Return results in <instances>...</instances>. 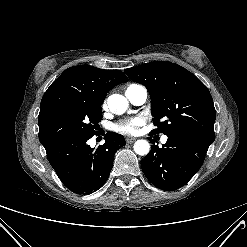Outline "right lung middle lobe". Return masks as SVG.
<instances>
[{
    "mask_svg": "<svg viewBox=\"0 0 247 247\" xmlns=\"http://www.w3.org/2000/svg\"><path fill=\"white\" fill-rule=\"evenodd\" d=\"M101 103L79 102L47 112L39 123V140L44 147L72 137L93 135L102 119Z\"/></svg>",
    "mask_w": 247,
    "mask_h": 247,
    "instance_id": "1",
    "label": "right lung middle lobe"
}]
</instances>
